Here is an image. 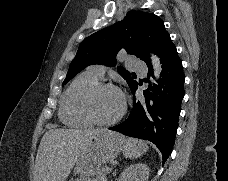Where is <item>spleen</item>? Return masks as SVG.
Returning a JSON list of instances; mask_svg holds the SVG:
<instances>
[{"label": "spleen", "mask_w": 228, "mask_h": 181, "mask_svg": "<svg viewBox=\"0 0 228 181\" xmlns=\"http://www.w3.org/2000/svg\"><path fill=\"white\" fill-rule=\"evenodd\" d=\"M122 149L126 159H138L147 153L148 143L139 139H125Z\"/></svg>", "instance_id": "obj_1"}]
</instances>
